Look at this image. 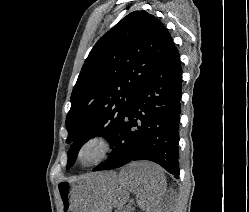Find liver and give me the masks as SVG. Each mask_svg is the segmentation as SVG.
Returning a JSON list of instances; mask_svg holds the SVG:
<instances>
[{
    "mask_svg": "<svg viewBox=\"0 0 249 212\" xmlns=\"http://www.w3.org/2000/svg\"><path fill=\"white\" fill-rule=\"evenodd\" d=\"M103 194L104 212L122 208L129 200V192L136 194L137 204L143 210L157 208L166 190L162 168L151 162H131L119 174L105 172L99 176Z\"/></svg>",
    "mask_w": 249,
    "mask_h": 212,
    "instance_id": "1",
    "label": "liver"
}]
</instances>
